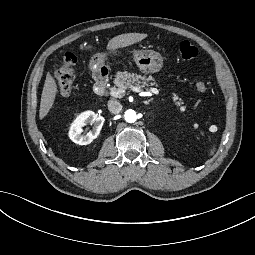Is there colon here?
<instances>
[{"label":"colon","mask_w":255,"mask_h":255,"mask_svg":"<svg viewBox=\"0 0 255 255\" xmlns=\"http://www.w3.org/2000/svg\"><path fill=\"white\" fill-rule=\"evenodd\" d=\"M179 53L182 59L192 60L197 57L198 49L188 41H183L179 45ZM75 62L76 58L73 54H66L62 65L55 72L58 88L63 96H68L71 93L75 80V72L73 68ZM196 87L200 92H204L207 89V85L203 81H198Z\"/></svg>","instance_id":"5ec220e1"}]
</instances>
